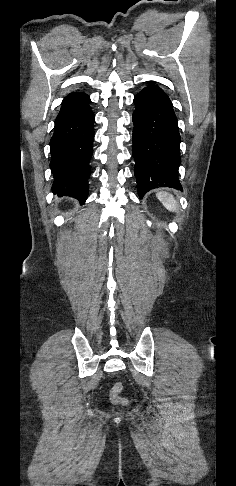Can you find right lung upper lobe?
<instances>
[{
  "label": "right lung upper lobe",
  "instance_id": "obj_1",
  "mask_svg": "<svg viewBox=\"0 0 236 486\" xmlns=\"http://www.w3.org/2000/svg\"><path fill=\"white\" fill-rule=\"evenodd\" d=\"M80 94H82V93L72 92L69 95H67L65 98H70V97L78 96Z\"/></svg>",
  "mask_w": 236,
  "mask_h": 486
}]
</instances>
